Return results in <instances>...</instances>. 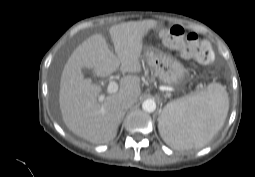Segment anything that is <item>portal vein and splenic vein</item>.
<instances>
[{
	"instance_id": "portal-vein-and-splenic-vein-1",
	"label": "portal vein and splenic vein",
	"mask_w": 255,
	"mask_h": 177,
	"mask_svg": "<svg viewBox=\"0 0 255 177\" xmlns=\"http://www.w3.org/2000/svg\"><path fill=\"white\" fill-rule=\"evenodd\" d=\"M117 91H118V84L114 80H110L107 87V93L113 94V93H116ZM99 100L103 101L104 95H100Z\"/></svg>"
}]
</instances>
